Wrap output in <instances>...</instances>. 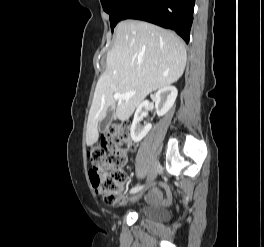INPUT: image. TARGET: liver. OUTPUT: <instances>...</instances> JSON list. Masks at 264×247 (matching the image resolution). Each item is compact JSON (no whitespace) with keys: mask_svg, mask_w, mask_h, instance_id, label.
Segmentation results:
<instances>
[{"mask_svg":"<svg viewBox=\"0 0 264 247\" xmlns=\"http://www.w3.org/2000/svg\"><path fill=\"white\" fill-rule=\"evenodd\" d=\"M115 34L90 108L87 146L98 141V123L109 108L114 119L127 120L149 93L178 81L186 66L185 45L170 31L142 21L125 20L118 23ZM115 93L135 95L116 103Z\"/></svg>","mask_w":264,"mask_h":247,"instance_id":"obj_1","label":"liver"}]
</instances>
